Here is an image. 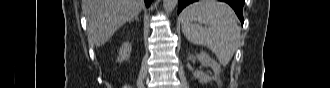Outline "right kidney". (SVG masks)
<instances>
[{
  "instance_id": "obj_1",
  "label": "right kidney",
  "mask_w": 330,
  "mask_h": 88,
  "mask_svg": "<svg viewBox=\"0 0 330 88\" xmlns=\"http://www.w3.org/2000/svg\"><path fill=\"white\" fill-rule=\"evenodd\" d=\"M131 44L129 42H125L122 44L121 48H120V52H119V56L117 58L118 62H123L125 60H128L130 57V53H131Z\"/></svg>"
}]
</instances>
